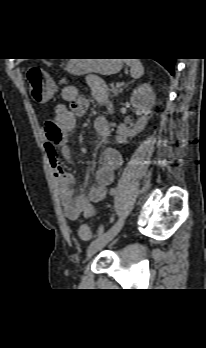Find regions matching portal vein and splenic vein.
Instances as JSON below:
<instances>
[{
    "instance_id": "obj_1",
    "label": "portal vein and splenic vein",
    "mask_w": 206,
    "mask_h": 348,
    "mask_svg": "<svg viewBox=\"0 0 206 348\" xmlns=\"http://www.w3.org/2000/svg\"><path fill=\"white\" fill-rule=\"evenodd\" d=\"M122 85H123V83H121V82L116 83V87H121Z\"/></svg>"
}]
</instances>
